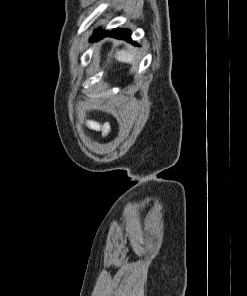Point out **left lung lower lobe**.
<instances>
[{
	"instance_id": "obj_1",
	"label": "left lung lower lobe",
	"mask_w": 247,
	"mask_h": 296,
	"mask_svg": "<svg viewBox=\"0 0 247 296\" xmlns=\"http://www.w3.org/2000/svg\"><path fill=\"white\" fill-rule=\"evenodd\" d=\"M106 35L112 36V37L118 38V39H125V40H129V41L131 40L130 39V30H127V29H113L111 31H102L99 34H96L94 38L92 37L91 40L96 41L99 38L104 37Z\"/></svg>"
}]
</instances>
